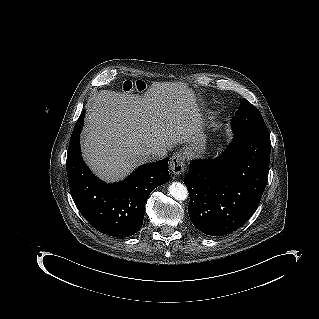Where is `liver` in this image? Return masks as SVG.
I'll use <instances>...</instances> for the list:
<instances>
[{
    "label": "liver",
    "instance_id": "obj_1",
    "mask_svg": "<svg viewBox=\"0 0 319 319\" xmlns=\"http://www.w3.org/2000/svg\"><path fill=\"white\" fill-rule=\"evenodd\" d=\"M200 130L193 95L182 86L156 83L143 96L102 90L87 104L82 153L99 178L115 182L148 162L145 151L190 142Z\"/></svg>",
    "mask_w": 319,
    "mask_h": 319
}]
</instances>
